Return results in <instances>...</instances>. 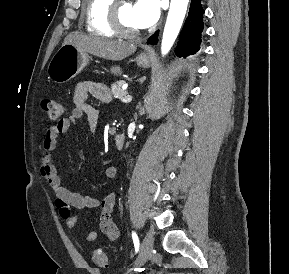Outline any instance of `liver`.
I'll return each mask as SVG.
<instances>
[{
    "label": "liver",
    "instance_id": "obj_1",
    "mask_svg": "<svg viewBox=\"0 0 289 274\" xmlns=\"http://www.w3.org/2000/svg\"><path fill=\"white\" fill-rule=\"evenodd\" d=\"M63 44H72L79 50L92 55L120 61L133 54L137 47L134 44L123 43L119 41H112L91 35H82L78 33H71L65 39ZM119 67L113 68V73H120Z\"/></svg>",
    "mask_w": 289,
    "mask_h": 274
}]
</instances>
